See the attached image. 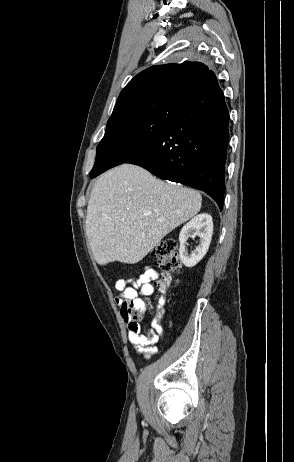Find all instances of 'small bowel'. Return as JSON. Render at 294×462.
<instances>
[{
	"instance_id": "small-bowel-1",
	"label": "small bowel",
	"mask_w": 294,
	"mask_h": 462,
	"mask_svg": "<svg viewBox=\"0 0 294 462\" xmlns=\"http://www.w3.org/2000/svg\"><path fill=\"white\" fill-rule=\"evenodd\" d=\"M159 278L158 272L151 266H145L138 277H128L115 282L114 288L118 295L115 298L120 308L121 317L128 327V340L134 346L138 354L150 358L158 348L156 344L163 336L161 326L162 315L160 311L164 307V300L161 298L158 303V315L152 321L151 327L143 329L140 324L134 322L130 315V308L144 309V302L140 296H150L154 292L153 283Z\"/></svg>"
}]
</instances>
